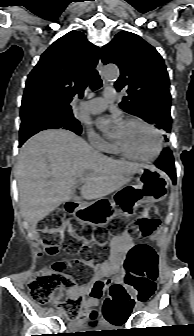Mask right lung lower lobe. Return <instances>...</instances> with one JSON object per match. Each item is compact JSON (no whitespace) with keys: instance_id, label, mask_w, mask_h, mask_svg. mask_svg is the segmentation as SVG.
<instances>
[{"instance_id":"obj_1","label":"right lung lower lobe","mask_w":194,"mask_h":336,"mask_svg":"<svg viewBox=\"0 0 194 336\" xmlns=\"http://www.w3.org/2000/svg\"><path fill=\"white\" fill-rule=\"evenodd\" d=\"M25 141H26V140H22V141H20L19 146H21Z\"/></svg>"}]
</instances>
